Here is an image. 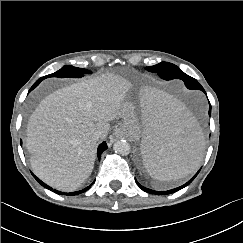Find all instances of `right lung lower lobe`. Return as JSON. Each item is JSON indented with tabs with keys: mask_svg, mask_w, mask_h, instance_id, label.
<instances>
[{
	"mask_svg": "<svg viewBox=\"0 0 243 243\" xmlns=\"http://www.w3.org/2000/svg\"><path fill=\"white\" fill-rule=\"evenodd\" d=\"M41 81H42L41 78H40L39 80H37L36 83L32 86L31 90L34 89V88H35ZM106 149H107V145H106L105 142H103V143H101V144L99 145L98 150H97V157H98V159H100V156H101L102 152H103L104 150H106ZM33 176L35 177V179H36L42 186H44L45 188H47V189H49V190H52V188H51L50 186H48V185H46L45 183H43V182H42L41 180H39L35 175H33ZM92 184H93V183H92ZM92 184H91V185H92ZM91 185L88 186V187H86V188L83 189V190H80V191H77V192H73V193H63V192H60V191H57V190H54V192L57 193V194L77 195V194H80V193H83V192L87 191V190L91 187Z\"/></svg>",
	"mask_w": 243,
	"mask_h": 243,
	"instance_id": "right-lung-lower-lobe-1",
	"label": "right lung lower lobe"
}]
</instances>
